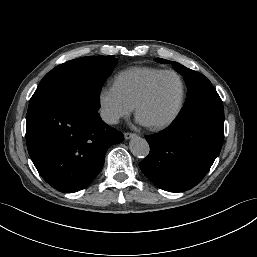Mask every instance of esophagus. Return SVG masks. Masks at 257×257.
Listing matches in <instances>:
<instances>
[{"label": "esophagus", "instance_id": "34e87169", "mask_svg": "<svg viewBox=\"0 0 257 257\" xmlns=\"http://www.w3.org/2000/svg\"><path fill=\"white\" fill-rule=\"evenodd\" d=\"M136 136H137V135H136L135 133H130V132L124 133V138H125L126 140L131 139V138H135Z\"/></svg>", "mask_w": 257, "mask_h": 257}]
</instances>
